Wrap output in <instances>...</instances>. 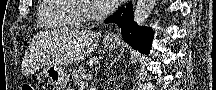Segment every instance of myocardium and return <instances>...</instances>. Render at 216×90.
<instances>
[{"instance_id":"obj_1","label":"myocardium","mask_w":216,"mask_h":90,"mask_svg":"<svg viewBox=\"0 0 216 90\" xmlns=\"http://www.w3.org/2000/svg\"><path fill=\"white\" fill-rule=\"evenodd\" d=\"M77 3L81 6L84 15L91 21L89 28H95V22L99 16L111 10V8L100 6L96 1H77Z\"/></svg>"}]
</instances>
